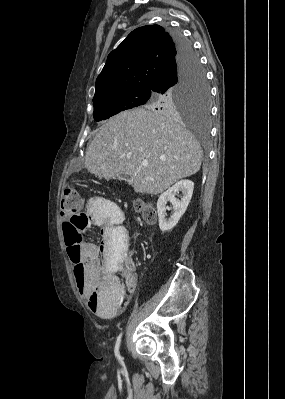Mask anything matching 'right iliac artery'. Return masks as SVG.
<instances>
[{"label":"right iliac artery","mask_w":285,"mask_h":399,"mask_svg":"<svg viewBox=\"0 0 285 399\" xmlns=\"http://www.w3.org/2000/svg\"><path fill=\"white\" fill-rule=\"evenodd\" d=\"M121 338H122V333L119 334L114 349L115 357L117 359H120L119 347H120Z\"/></svg>","instance_id":"1"}]
</instances>
